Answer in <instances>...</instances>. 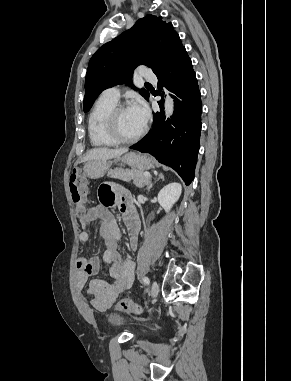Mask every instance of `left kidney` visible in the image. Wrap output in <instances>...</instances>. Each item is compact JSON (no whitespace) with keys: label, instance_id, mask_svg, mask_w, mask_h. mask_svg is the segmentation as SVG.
Returning <instances> with one entry per match:
<instances>
[{"label":"left kidney","instance_id":"left-kidney-1","mask_svg":"<svg viewBox=\"0 0 291 381\" xmlns=\"http://www.w3.org/2000/svg\"><path fill=\"white\" fill-rule=\"evenodd\" d=\"M182 192L180 183L173 182L163 187L158 193V202L165 210L169 212L175 202L179 199Z\"/></svg>","mask_w":291,"mask_h":381}]
</instances>
